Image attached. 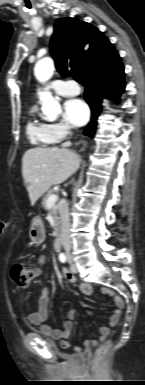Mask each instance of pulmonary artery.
<instances>
[{"label":"pulmonary artery","instance_id":"pulmonary-artery-1","mask_svg":"<svg viewBox=\"0 0 145 385\" xmlns=\"http://www.w3.org/2000/svg\"><path fill=\"white\" fill-rule=\"evenodd\" d=\"M50 87L55 93L62 96H74L80 93V87L73 80H55L51 83Z\"/></svg>","mask_w":145,"mask_h":385}]
</instances>
